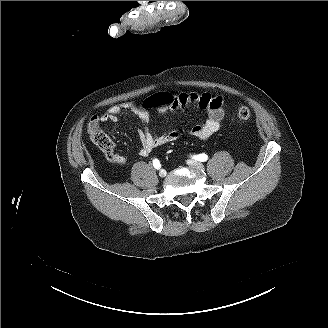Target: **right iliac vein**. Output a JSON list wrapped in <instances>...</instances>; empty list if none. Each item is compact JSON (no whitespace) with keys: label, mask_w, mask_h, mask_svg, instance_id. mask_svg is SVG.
I'll list each match as a JSON object with an SVG mask.
<instances>
[{"label":"right iliac vein","mask_w":328,"mask_h":328,"mask_svg":"<svg viewBox=\"0 0 328 328\" xmlns=\"http://www.w3.org/2000/svg\"><path fill=\"white\" fill-rule=\"evenodd\" d=\"M166 174H167V171L165 169H161L160 172H159V176L162 177V178L165 177Z\"/></svg>","instance_id":"63e3f726"}]
</instances>
